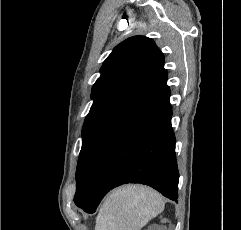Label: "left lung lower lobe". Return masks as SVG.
I'll list each match as a JSON object with an SVG mask.
<instances>
[{
  "mask_svg": "<svg viewBox=\"0 0 241 230\" xmlns=\"http://www.w3.org/2000/svg\"><path fill=\"white\" fill-rule=\"evenodd\" d=\"M170 89L161 92L96 154L76 205L94 213L105 194L124 183H142L178 198L179 172L171 127Z\"/></svg>",
  "mask_w": 241,
  "mask_h": 230,
  "instance_id": "obj_1",
  "label": "left lung lower lobe"
}]
</instances>
